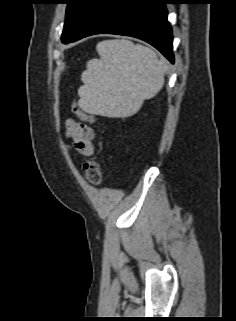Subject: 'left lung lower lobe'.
I'll return each mask as SVG.
<instances>
[{
    "label": "left lung lower lobe",
    "instance_id": "obj_1",
    "mask_svg": "<svg viewBox=\"0 0 236 321\" xmlns=\"http://www.w3.org/2000/svg\"><path fill=\"white\" fill-rule=\"evenodd\" d=\"M171 0H98L77 34L69 41L110 33L142 39L174 63L172 29L165 4Z\"/></svg>",
    "mask_w": 236,
    "mask_h": 321
}]
</instances>
